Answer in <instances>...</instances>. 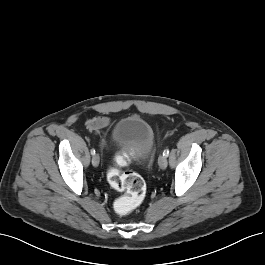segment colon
<instances>
[{"mask_svg": "<svg viewBox=\"0 0 265 265\" xmlns=\"http://www.w3.org/2000/svg\"><path fill=\"white\" fill-rule=\"evenodd\" d=\"M127 161V155H121L116 160L120 166L126 165ZM108 181L114 189L126 192V196L115 205L118 214L125 215L142 202L146 188L143 179L138 174L134 172L121 173L117 168H111L108 171Z\"/></svg>", "mask_w": 265, "mask_h": 265, "instance_id": "5ec220e1", "label": "colon"}]
</instances>
